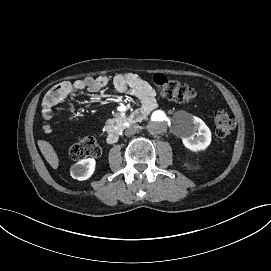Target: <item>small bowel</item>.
<instances>
[{
	"label": "small bowel",
	"instance_id": "small-bowel-1",
	"mask_svg": "<svg viewBox=\"0 0 271 271\" xmlns=\"http://www.w3.org/2000/svg\"><path fill=\"white\" fill-rule=\"evenodd\" d=\"M110 84L107 76L96 78L87 77L74 82H62L54 86L44 97L43 107L46 119H49L53 107L61 104L68 97H75L78 94L98 93L106 89ZM114 89L121 93L138 99L145 110H152L156 107L155 90L140 76L134 73L117 74L113 79ZM46 131H50V125H45Z\"/></svg>",
	"mask_w": 271,
	"mask_h": 271
}]
</instances>
